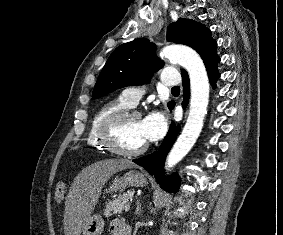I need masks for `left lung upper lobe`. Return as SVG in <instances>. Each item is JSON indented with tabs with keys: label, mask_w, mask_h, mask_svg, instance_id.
Listing matches in <instances>:
<instances>
[{
	"label": "left lung upper lobe",
	"mask_w": 283,
	"mask_h": 235,
	"mask_svg": "<svg viewBox=\"0 0 283 235\" xmlns=\"http://www.w3.org/2000/svg\"><path fill=\"white\" fill-rule=\"evenodd\" d=\"M167 40L195 49L202 57L206 69L218 63L217 43L210 30L202 24L179 18L168 29ZM164 62L155 56V45L146 38H138L117 47L108 58L95 84L92 99H98L116 89L148 83L153 73L162 68ZM182 76L187 72L181 70ZM174 102H169L171 109Z\"/></svg>",
	"instance_id": "5c2ea615"
}]
</instances>
